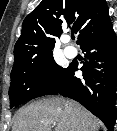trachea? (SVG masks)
<instances>
[{
  "label": "trachea",
  "mask_w": 117,
  "mask_h": 131,
  "mask_svg": "<svg viewBox=\"0 0 117 131\" xmlns=\"http://www.w3.org/2000/svg\"><path fill=\"white\" fill-rule=\"evenodd\" d=\"M72 40H75V37H74V36H72Z\"/></svg>",
  "instance_id": "1"
}]
</instances>
